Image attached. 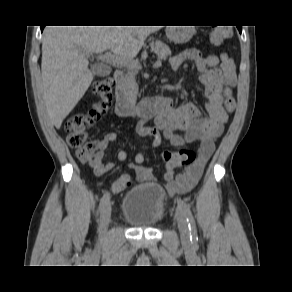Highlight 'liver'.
Returning <instances> with one entry per match:
<instances>
[{
    "mask_svg": "<svg viewBox=\"0 0 292 292\" xmlns=\"http://www.w3.org/2000/svg\"><path fill=\"white\" fill-rule=\"evenodd\" d=\"M159 26H47L42 41V81L49 117L59 129L91 85L88 55L110 50L135 57Z\"/></svg>",
    "mask_w": 292,
    "mask_h": 292,
    "instance_id": "obj_1",
    "label": "liver"
}]
</instances>
